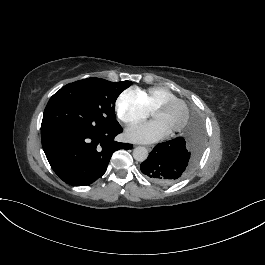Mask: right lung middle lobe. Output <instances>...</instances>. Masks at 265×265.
<instances>
[{"instance_id": "right-lung-middle-lobe-1", "label": "right lung middle lobe", "mask_w": 265, "mask_h": 265, "mask_svg": "<svg viewBox=\"0 0 265 265\" xmlns=\"http://www.w3.org/2000/svg\"><path fill=\"white\" fill-rule=\"evenodd\" d=\"M131 84L100 78L67 84L50 98L41 135L65 129L105 131L120 126L115 117V101Z\"/></svg>"}]
</instances>
